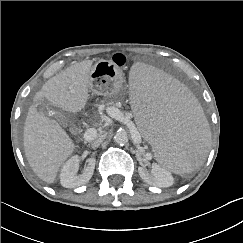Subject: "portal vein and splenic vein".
<instances>
[{
	"label": "portal vein and splenic vein",
	"instance_id": "18ae733b",
	"mask_svg": "<svg viewBox=\"0 0 243 243\" xmlns=\"http://www.w3.org/2000/svg\"><path fill=\"white\" fill-rule=\"evenodd\" d=\"M109 115L126 124L128 126V128L133 132L135 137H140V134L137 130V128L135 127L134 123L130 120L131 115H124L121 111H119V109L116 108H112L109 112ZM96 134V131L94 129H88L85 133H84V138L85 140H90L92 139Z\"/></svg>",
	"mask_w": 243,
	"mask_h": 243
}]
</instances>
